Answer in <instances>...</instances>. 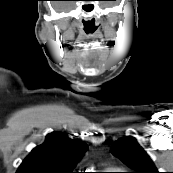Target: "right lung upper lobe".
I'll return each instance as SVG.
<instances>
[{
  "instance_id": "right-lung-upper-lobe-1",
  "label": "right lung upper lobe",
  "mask_w": 173,
  "mask_h": 173,
  "mask_svg": "<svg viewBox=\"0 0 173 173\" xmlns=\"http://www.w3.org/2000/svg\"><path fill=\"white\" fill-rule=\"evenodd\" d=\"M86 149L85 143L72 140L63 133H49L45 142L30 152L16 173H73Z\"/></svg>"
}]
</instances>
